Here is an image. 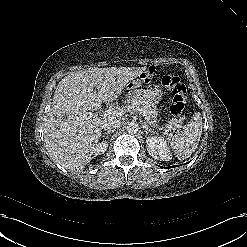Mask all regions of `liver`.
<instances>
[{
	"label": "liver",
	"instance_id": "obj_1",
	"mask_svg": "<svg viewBox=\"0 0 247 247\" xmlns=\"http://www.w3.org/2000/svg\"><path fill=\"white\" fill-rule=\"evenodd\" d=\"M145 70L146 67H93L62 78L44 121V142L51 160L69 170H82L92 159L104 124L119 117L101 118L91 111L115 100Z\"/></svg>",
	"mask_w": 247,
	"mask_h": 247
}]
</instances>
